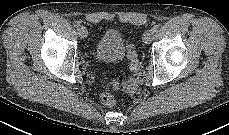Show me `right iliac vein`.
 <instances>
[{
	"label": "right iliac vein",
	"mask_w": 229,
	"mask_h": 135,
	"mask_svg": "<svg viewBox=\"0 0 229 135\" xmlns=\"http://www.w3.org/2000/svg\"><path fill=\"white\" fill-rule=\"evenodd\" d=\"M78 34L80 38L84 39L87 37L88 31L84 26H81L80 28H78Z\"/></svg>",
	"instance_id": "1"
}]
</instances>
